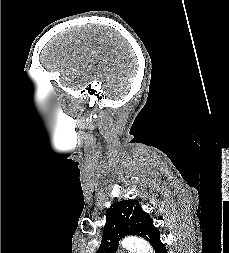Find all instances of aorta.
<instances>
[{
    "mask_svg": "<svg viewBox=\"0 0 229 253\" xmlns=\"http://www.w3.org/2000/svg\"><path fill=\"white\" fill-rule=\"evenodd\" d=\"M122 246L135 253H154L151 245L142 238L129 237L122 241Z\"/></svg>",
    "mask_w": 229,
    "mask_h": 253,
    "instance_id": "obj_1",
    "label": "aorta"
}]
</instances>
